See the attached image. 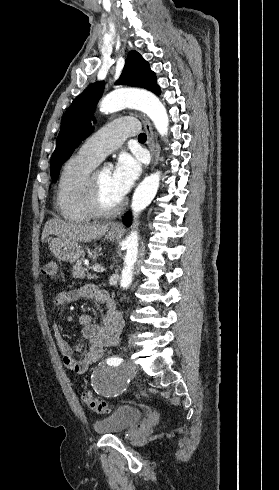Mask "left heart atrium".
I'll list each match as a JSON object with an SVG mask.
<instances>
[{
	"label": "left heart atrium",
	"instance_id": "1",
	"mask_svg": "<svg viewBox=\"0 0 279 490\" xmlns=\"http://www.w3.org/2000/svg\"><path fill=\"white\" fill-rule=\"evenodd\" d=\"M142 171L140 161L131 155L124 154L116 162L111 173V185L114 194L123 199L134 186Z\"/></svg>",
	"mask_w": 279,
	"mask_h": 490
}]
</instances>
